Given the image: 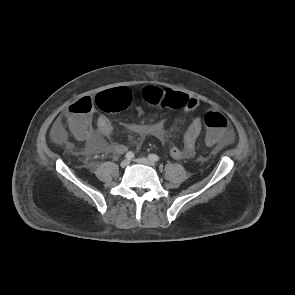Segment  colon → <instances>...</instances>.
<instances>
[{
	"label": "colon",
	"instance_id": "1",
	"mask_svg": "<svg viewBox=\"0 0 295 295\" xmlns=\"http://www.w3.org/2000/svg\"><path fill=\"white\" fill-rule=\"evenodd\" d=\"M142 96L147 103L163 108H183L188 101V96L184 93L163 90L154 86L145 87ZM131 101L132 93L126 87L105 90L94 98L84 97L69 106V124L71 128H77L79 121L88 115L94 107L103 112L111 113L127 108ZM204 122L207 128L206 145L213 146L230 136L228 121L220 112H207Z\"/></svg>",
	"mask_w": 295,
	"mask_h": 295
}]
</instances>
